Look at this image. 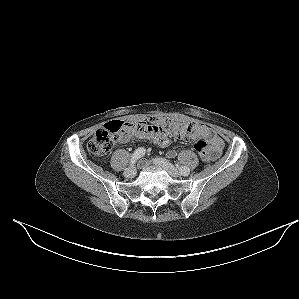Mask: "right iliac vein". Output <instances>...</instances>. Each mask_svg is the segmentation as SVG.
Wrapping results in <instances>:
<instances>
[{
    "label": "right iliac vein",
    "mask_w": 299,
    "mask_h": 299,
    "mask_svg": "<svg viewBox=\"0 0 299 299\" xmlns=\"http://www.w3.org/2000/svg\"><path fill=\"white\" fill-rule=\"evenodd\" d=\"M125 177L133 178L136 175V168L134 166L127 168L124 171Z\"/></svg>",
    "instance_id": "63e3f726"
}]
</instances>
